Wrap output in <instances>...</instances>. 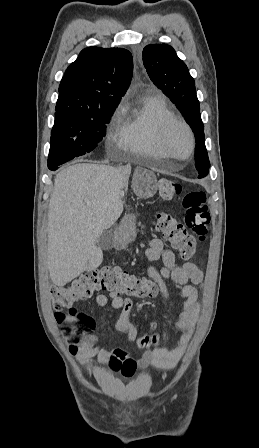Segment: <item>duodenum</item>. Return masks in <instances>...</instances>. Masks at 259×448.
Masks as SVG:
<instances>
[{"mask_svg":"<svg viewBox=\"0 0 259 448\" xmlns=\"http://www.w3.org/2000/svg\"><path fill=\"white\" fill-rule=\"evenodd\" d=\"M124 246V238H123V232L119 231L118 235H117V239H116V243H115V247L117 249H120Z\"/></svg>","mask_w":259,"mask_h":448,"instance_id":"410a0bca","label":"duodenum"}]
</instances>
